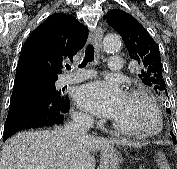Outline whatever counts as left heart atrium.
<instances>
[{
	"label": "left heart atrium",
	"instance_id": "39dd6f15",
	"mask_svg": "<svg viewBox=\"0 0 177 169\" xmlns=\"http://www.w3.org/2000/svg\"><path fill=\"white\" fill-rule=\"evenodd\" d=\"M124 93L114 81L95 80L80 86L75 93L79 108L101 117H112L119 109Z\"/></svg>",
	"mask_w": 177,
	"mask_h": 169
}]
</instances>
